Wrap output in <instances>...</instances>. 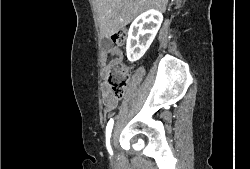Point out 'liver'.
I'll list each match as a JSON object with an SVG mask.
<instances>
[{"mask_svg":"<svg viewBox=\"0 0 250 169\" xmlns=\"http://www.w3.org/2000/svg\"><path fill=\"white\" fill-rule=\"evenodd\" d=\"M101 36L110 38L146 8L166 10L168 0H92Z\"/></svg>","mask_w":250,"mask_h":169,"instance_id":"liver-1","label":"liver"}]
</instances>
